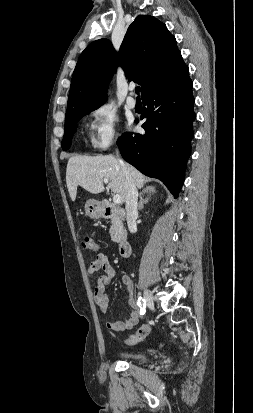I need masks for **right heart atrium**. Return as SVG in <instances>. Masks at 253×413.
I'll use <instances>...</instances> for the list:
<instances>
[{
    "mask_svg": "<svg viewBox=\"0 0 253 413\" xmlns=\"http://www.w3.org/2000/svg\"><path fill=\"white\" fill-rule=\"evenodd\" d=\"M91 144L99 151L107 150L118 141V117L107 105L99 106L90 113Z\"/></svg>",
    "mask_w": 253,
    "mask_h": 413,
    "instance_id": "obj_1",
    "label": "right heart atrium"
}]
</instances>
